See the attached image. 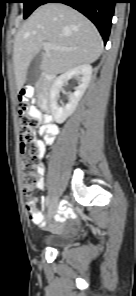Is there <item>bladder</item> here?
Listing matches in <instances>:
<instances>
[{
  "label": "bladder",
  "mask_w": 136,
  "mask_h": 296,
  "mask_svg": "<svg viewBox=\"0 0 136 296\" xmlns=\"http://www.w3.org/2000/svg\"><path fill=\"white\" fill-rule=\"evenodd\" d=\"M73 240V235H61L51 239L54 246L63 247L68 245Z\"/></svg>",
  "instance_id": "31cf9c89"
}]
</instances>
